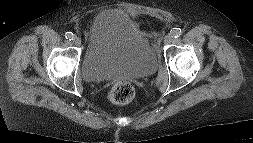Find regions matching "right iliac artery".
<instances>
[{
  "label": "right iliac artery",
  "instance_id": "right-iliac-artery-1",
  "mask_svg": "<svg viewBox=\"0 0 253 143\" xmlns=\"http://www.w3.org/2000/svg\"><path fill=\"white\" fill-rule=\"evenodd\" d=\"M65 37H66V39H69L71 41L73 39V33L72 32H66Z\"/></svg>",
  "mask_w": 253,
  "mask_h": 143
}]
</instances>
